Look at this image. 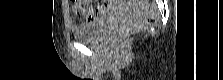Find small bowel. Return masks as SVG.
Instances as JSON below:
<instances>
[{
  "mask_svg": "<svg viewBox=\"0 0 223 80\" xmlns=\"http://www.w3.org/2000/svg\"><path fill=\"white\" fill-rule=\"evenodd\" d=\"M112 1H104L98 4L97 7H92L90 1H86L84 4V10L79 6L74 4L73 10L78 15H81L84 19L88 21H93L98 19L101 15H103L107 10L112 8L113 6Z\"/></svg>",
  "mask_w": 223,
  "mask_h": 80,
  "instance_id": "1",
  "label": "small bowel"
}]
</instances>
